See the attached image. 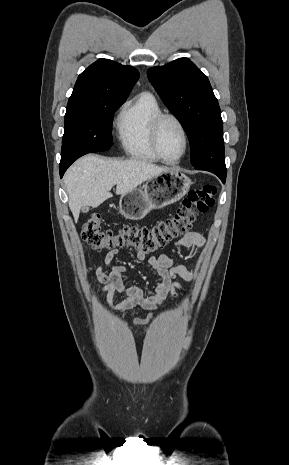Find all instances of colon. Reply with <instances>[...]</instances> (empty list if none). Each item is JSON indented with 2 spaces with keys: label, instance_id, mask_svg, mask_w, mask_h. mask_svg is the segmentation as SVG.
<instances>
[{
  "label": "colon",
  "instance_id": "obj_1",
  "mask_svg": "<svg viewBox=\"0 0 289 465\" xmlns=\"http://www.w3.org/2000/svg\"><path fill=\"white\" fill-rule=\"evenodd\" d=\"M216 190L214 185L206 184L189 191L174 215L150 227L126 225L117 231L103 230L100 216L93 214L83 225L82 239L94 250L128 248L154 253L185 234L199 214L213 207Z\"/></svg>",
  "mask_w": 289,
  "mask_h": 465
}]
</instances>
